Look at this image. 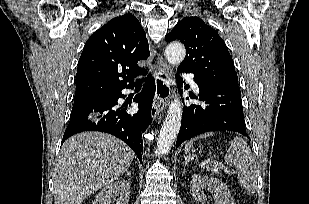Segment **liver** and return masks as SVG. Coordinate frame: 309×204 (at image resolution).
Wrapping results in <instances>:
<instances>
[{
    "mask_svg": "<svg viewBox=\"0 0 309 204\" xmlns=\"http://www.w3.org/2000/svg\"><path fill=\"white\" fill-rule=\"evenodd\" d=\"M134 156L123 141L106 133L70 137L55 162L54 204H81L127 171Z\"/></svg>",
    "mask_w": 309,
    "mask_h": 204,
    "instance_id": "obj_1",
    "label": "liver"
}]
</instances>
